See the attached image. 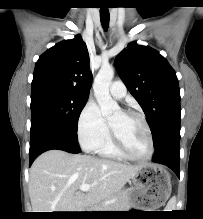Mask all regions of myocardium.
Instances as JSON below:
<instances>
[{
  "label": "myocardium",
  "instance_id": "1",
  "mask_svg": "<svg viewBox=\"0 0 203 219\" xmlns=\"http://www.w3.org/2000/svg\"><path fill=\"white\" fill-rule=\"evenodd\" d=\"M123 112L125 114H129V115H134L136 117H138L147 132V136H148V143H149V152L147 154V156L143 157V158H139V157H135L133 156L128 149L126 148V146L124 145L122 139L120 138L119 134L117 133V131L115 130V128L110 124V130H111V136H112V140L113 143L115 145V147L117 148V150L127 159L135 161V162H140V163H144V162H148L152 159L153 155H154V151H155V146H154V140H153V134L150 128V125L146 119V117L133 109H128V110H123Z\"/></svg>",
  "mask_w": 203,
  "mask_h": 219
}]
</instances>
